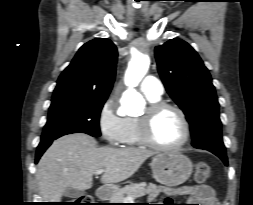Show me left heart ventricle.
<instances>
[{
    "label": "left heart ventricle",
    "instance_id": "1",
    "mask_svg": "<svg viewBox=\"0 0 253 205\" xmlns=\"http://www.w3.org/2000/svg\"><path fill=\"white\" fill-rule=\"evenodd\" d=\"M184 133L180 117L172 110L163 111L153 123V136L162 145L178 144L183 139Z\"/></svg>",
    "mask_w": 253,
    "mask_h": 205
}]
</instances>
